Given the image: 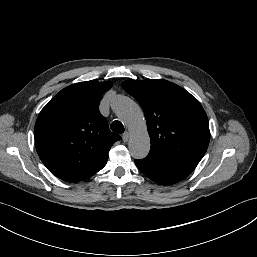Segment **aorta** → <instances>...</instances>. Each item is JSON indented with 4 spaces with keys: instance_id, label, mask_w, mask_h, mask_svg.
<instances>
[{
    "instance_id": "762f6f07",
    "label": "aorta",
    "mask_w": 257,
    "mask_h": 257,
    "mask_svg": "<svg viewBox=\"0 0 257 257\" xmlns=\"http://www.w3.org/2000/svg\"><path fill=\"white\" fill-rule=\"evenodd\" d=\"M112 107L116 115L124 121L131 131L129 151L135 159H143L150 150V137L141 108L130 98L118 96Z\"/></svg>"
}]
</instances>
